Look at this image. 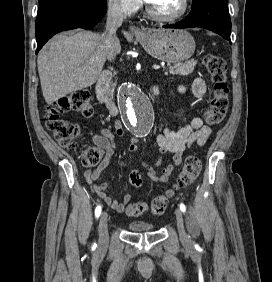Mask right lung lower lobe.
Instances as JSON below:
<instances>
[{
    "instance_id": "right-lung-lower-lobe-1",
    "label": "right lung lower lobe",
    "mask_w": 272,
    "mask_h": 282,
    "mask_svg": "<svg viewBox=\"0 0 272 282\" xmlns=\"http://www.w3.org/2000/svg\"><path fill=\"white\" fill-rule=\"evenodd\" d=\"M106 11V2L96 0H47L41 3L35 24L36 53L56 33L92 28Z\"/></svg>"
}]
</instances>
